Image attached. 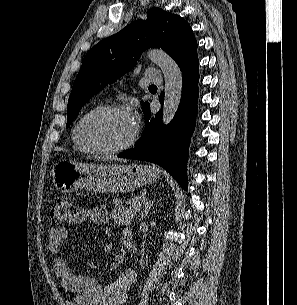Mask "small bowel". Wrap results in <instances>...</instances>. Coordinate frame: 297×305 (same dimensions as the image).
<instances>
[{
	"instance_id": "c3829d8e",
	"label": "small bowel",
	"mask_w": 297,
	"mask_h": 305,
	"mask_svg": "<svg viewBox=\"0 0 297 305\" xmlns=\"http://www.w3.org/2000/svg\"><path fill=\"white\" fill-rule=\"evenodd\" d=\"M89 221L95 225L105 223V212L101 208L82 209L67 224L76 226ZM67 225L54 226L49 231L48 250L55 258L53 270L61 280L62 287L73 296L68 305H124L127 295L136 281L133 269H125L113 282L102 286L94 277L77 274L64 257V243L67 238ZM103 252L113 250L111 243L103 246Z\"/></svg>"
}]
</instances>
